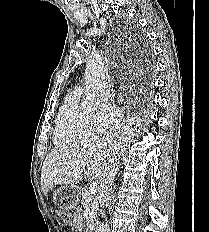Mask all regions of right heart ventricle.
I'll list each match as a JSON object with an SVG mask.
<instances>
[{
    "mask_svg": "<svg viewBox=\"0 0 209 232\" xmlns=\"http://www.w3.org/2000/svg\"><path fill=\"white\" fill-rule=\"evenodd\" d=\"M81 92L70 91L58 113L53 142L57 147H67L91 139L96 133L92 116L80 107Z\"/></svg>",
    "mask_w": 209,
    "mask_h": 232,
    "instance_id": "e07e8e85",
    "label": "right heart ventricle"
}]
</instances>
